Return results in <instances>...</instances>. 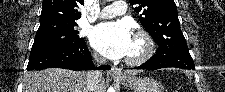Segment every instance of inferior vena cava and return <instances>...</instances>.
I'll return each mask as SVG.
<instances>
[{"instance_id": "inferior-vena-cava-1", "label": "inferior vena cava", "mask_w": 225, "mask_h": 92, "mask_svg": "<svg viewBox=\"0 0 225 92\" xmlns=\"http://www.w3.org/2000/svg\"><path fill=\"white\" fill-rule=\"evenodd\" d=\"M94 62L97 65H100V64H104L106 62V60L104 58L94 54ZM101 76H102V73L99 70L91 71V72L88 73L87 83H88L90 92H97V91H99L97 89H98V86H99V82H100V77Z\"/></svg>"}]
</instances>
